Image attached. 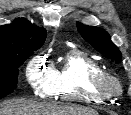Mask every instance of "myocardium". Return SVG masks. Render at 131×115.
Segmentation results:
<instances>
[{"label": "myocardium", "instance_id": "obj_1", "mask_svg": "<svg viewBox=\"0 0 131 115\" xmlns=\"http://www.w3.org/2000/svg\"><path fill=\"white\" fill-rule=\"evenodd\" d=\"M93 85L99 91L109 95H117L121 92V84L119 80L115 76L104 71L94 77Z\"/></svg>", "mask_w": 131, "mask_h": 115}]
</instances>
